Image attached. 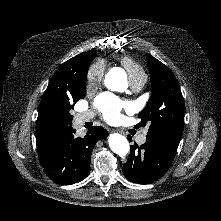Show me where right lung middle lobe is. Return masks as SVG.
Here are the masks:
<instances>
[{
    "label": "right lung middle lobe",
    "mask_w": 221,
    "mask_h": 221,
    "mask_svg": "<svg viewBox=\"0 0 221 221\" xmlns=\"http://www.w3.org/2000/svg\"><path fill=\"white\" fill-rule=\"evenodd\" d=\"M85 86L86 78L73 89L63 90L55 96V100L57 102L55 120L61 127L68 128L71 126L73 116L70 111L79 99L85 97Z\"/></svg>",
    "instance_id": "dd1d6c3e"
}]
</instances>
